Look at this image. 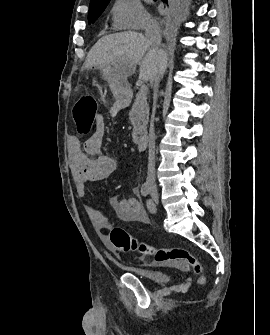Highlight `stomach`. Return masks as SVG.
Masks as SVG:
<instances>
[{"instance_id":"stomach-1","label":"stomach","mask_w":270,"mask_h":335,"mask_svg":"<svg viewBox=\"0 0 270 335\" xmlns=\"http://www.w3.org/2000/svg\"><path fill=\"white\" fill-rule=\"evenodd\" d=\"M102 72L106 80L109 82L110 90L113 94L115 102H119L122 108L127 106L130 100V88L128 84H125V82H121V80L115 78L112 66H109V68H103Z\"/></svg>"}]
</instances>
